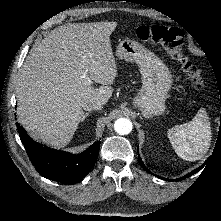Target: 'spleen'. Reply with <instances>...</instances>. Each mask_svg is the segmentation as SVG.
<instances>
[{
    "mask_svg": "<svg viewBox=\"0 0 221 221\" xmlns=\"http://www.w3.org/2000/svg\"><path fill=\"white\" fill-rule=\"evenodd\" d=\"M168 138L179 157L200 160L211 144V127L205 109L201 108L192 121L169 129Z\"/></svg>",
    "mask_w": 221,
    "mask_h": 221,
    "instance_id": "obj_1",
    "label": "spleen"
}]
</instances>
